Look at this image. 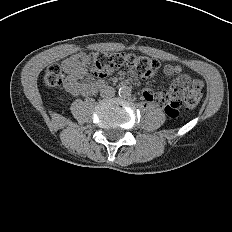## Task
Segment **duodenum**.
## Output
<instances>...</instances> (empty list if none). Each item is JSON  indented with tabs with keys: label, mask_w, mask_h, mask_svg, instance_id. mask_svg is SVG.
<instances>
[{
	"label": "duodenum",
	"mask_w": 232,
	"mask_h": 232,
	"mask_svg": "<svg viewBox=\"0 0 232 232\" xmlns=\"http://www.w3.org/2000/svg\"><path fill=\"white\" fill-rule=\"evenodd\" d=\"M106 86V83L104 81H97L94 84L88 85V92L89 94H93L98 88H103Z\"/></svg>",
	"instance_id": "1"
}]
</instances>
